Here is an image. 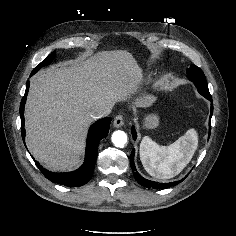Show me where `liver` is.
Segmentation results:
<instances>
[{"label":"liver","instance_id":"liver-1","mask_svg":"<svg viewBox=\"0 0 236 236\" xmlns=\"http://www.w3.org/2000/svg\"><path fill=\"white\" fill-rule=\"evenodd\" d=\"M143 79L133 56L122 50L52 66L31 79L25 109L27 147L53 171L75 167L93 118L89 111L126 99Z\"/></svg>","mask_w":236,"mask_h":236}]
</instances>
